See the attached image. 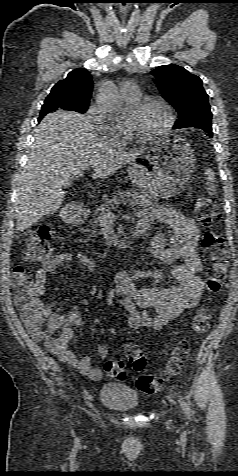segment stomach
I'll use <instances>...</instances> for the list:
<instances>
[{"label": "stomach", "mask_w": 238, "mask_h": 476, "mask_svg": "<svg viewBox=\"0 0 238 476\" xmlns=\"http://www.w3.org/2000/svg\"><path fill=\"white\" fill-rule=\"evenodd\" d=\"M141 163H131V182L147 197L168 198L181 191L195 167L196 157L190 145L174 133L140 152Z\"/></svg>", "instance_id": "stomach-1"}]
</instances>
